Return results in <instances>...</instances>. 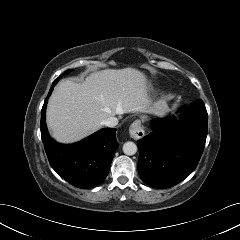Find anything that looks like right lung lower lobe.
Segmentation results:
<instances>
[{"label":"right lung lower lobe","mask_w":240,"mask_h":240,"mask_svg":"<svg viewBox=\"0 0 240 240\" xmlns=\"http://www.w3.org/2000/svg\"><path fill=\"white\" fill-rule=\"evenodd\" d=\"M51 86L41 111V137L52 168L71 185L89 189L106 178L113 156L119 146L116 129H101L80 142L63 145L48 134L45 112Z\"/></svg>","instance_id":"obj_1"}]
</instances>
